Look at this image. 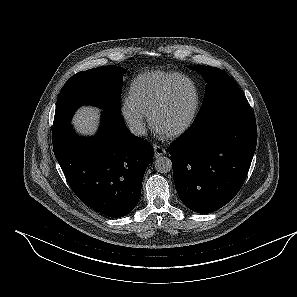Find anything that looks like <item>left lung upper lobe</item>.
I'll return each instance as SVG.
<instances>
[{"mask_svg":"<svg viewBox=\"0 0 297 297\" xmlns=\"http://www.w3.org/2000/svg\"><path fill=\"white\" fill-rule=\"evenodd\" d=\"M189 68L200 73L207 82L204 101L194 122H200L205 109L214 115L225 107L248 103L236 83L221 69L209 66H189Z\"/></svg>","mask_w":297,"mask_h":297,"instance_id":"obj_1","label":"left lung upper lobe"}]
</instances>
